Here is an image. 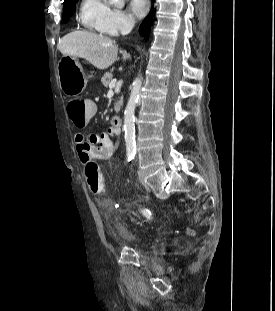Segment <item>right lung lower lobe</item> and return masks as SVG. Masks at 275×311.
I'll return each mask as SVG.
<instances>
[{"label":"right lung lower lobe","instance_id":"obj_1","mask_svg":"<svg viewBox=\"0 0 275 311\" xmlns=\"http://www.w3.org/2000/svg\"><path fill=\"white\" fill-rule=\"evenodd\" d=\"M153 12L154 10L152 9L149 15L144 19L140 26V33L144 35L145 39H148L149 33H150V27L152 24V19H153Z\"/></svg>","mask_w":275,"mask_h":311}]
</instances>
